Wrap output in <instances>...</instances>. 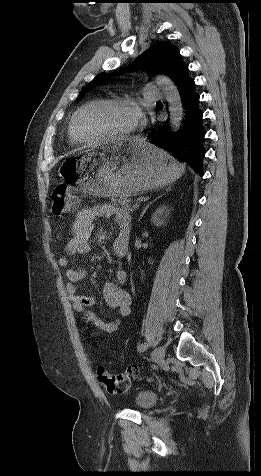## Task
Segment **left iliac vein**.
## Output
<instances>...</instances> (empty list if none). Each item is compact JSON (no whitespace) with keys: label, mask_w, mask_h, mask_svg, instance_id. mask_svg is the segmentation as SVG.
Instances as JSON below:
<instances>
[{"label":"left iliac vein","mask_w":261,"mask_h":476,"mask_svg":"<svg viewBox=\"0 0 261 476\" xmlns=\"http://www.w3.org/2000/svg\"><path fill=\"white\" fill-rule=\"evenodd\" d=\"M165 357V348L160 346L157 347L151 354L152 361L155 363H162Z\"/></svg>","instance_id":"4c4485c4"}]
</instances>
